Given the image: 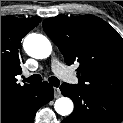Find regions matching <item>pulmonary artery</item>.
I'll use <instances>...</instances> for the list:
<instances>
[{
	"label": "pulmonary artery",
	"instance_id": "1",
	"mask_svg": "<svg viewBox=\"0 0 123 123\" xmlns=\"http://www.w3.org/2000/svg\"><path fill=\"white\" fill-rule=\"evenodd\" d=\"M53 72L62 79L72 81V75L67 70L66 66L57 58H53L51 61Z\"/></svg>",
	"mask_w": 123,
	"mask_h": 123
}]
</instances>
